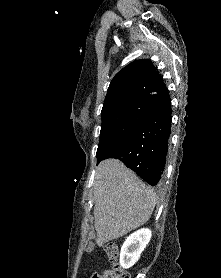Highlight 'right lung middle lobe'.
Returning <instances> with one entry per match:
<instances>
[{"mask_svg":"<svg viewBox=\"0 0 221 278\" xmlns=\"http://www.w3.org/2000/svg\"><path fill=\"white\" fill-rule=\"evenodd\" d=\"M153 110L144 102H134L102 114L97 161L127 137Z\"/></svg>","mask_w":221,"mask_h":278,"instance_id":"right-lung-middle-lobe-1","label":"right lung middle lobe"}]
</instances>
